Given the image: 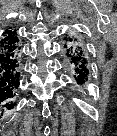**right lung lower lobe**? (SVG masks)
I'll list each match as a JSON object with an SVG mask.
<instances>
[{
	"instance_id": "right-lung-lower-lobe-1",
	"label": "right lung lower lobe",
	"mask_w": 117,
	"mask_h": 136,
	"mask_svg": "<svg viewBox=\"0 0 117 136\" xmlns=\"http://www.w3.org/2000/svg\"><path fill=\"white\" fill-rule=\"evenodd\" d=\"M16 29H6L0 38V104L10 107L22 74V61Z\"/></svg>"
}]
</instances>
